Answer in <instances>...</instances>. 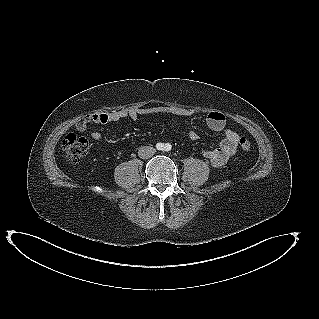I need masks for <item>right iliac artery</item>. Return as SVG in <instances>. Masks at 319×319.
Returning <instances> with one entry per match:
<instances>
[{
    "label": "right iliac artery",
    "mask_w": 319,
    "mask_h": 319,
    "mask_svg": "<svg viewBox=\"0 0 319 319\" xmlns=\"http://www.w3.org/2000/svg\"><path fill=\"white\" fill-rule=\"evenodd\" d=\"M163 147H164V144H162V143H157V144H156V148H157L158 150H162Z\"/></svg>",
    "instance_id": "right-iliac-artery-1"
}]
</instances>
